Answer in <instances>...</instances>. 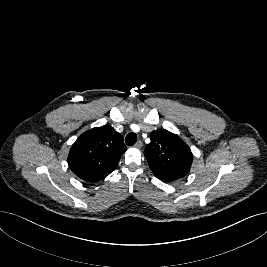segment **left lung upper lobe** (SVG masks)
<instances>
[{
  "mask_svg": "<svg viewBox=\"0 0 267 267\" xmlns=\"http://www.w3.org/2000/svg\"><path fill=\"white\" fill-rule=\"evenodd\" d=\"M150 138L151 142L146 146L144 155L157 178L171 182L189 173L193 155L179 136L158 129L151 133Z\"/></svg>",
  "mask_w": 267,
  "mask_h": 267,
  "instance_id": "5c2ea615",
  "label": "left lung upper lobe"
}]
</instances>
